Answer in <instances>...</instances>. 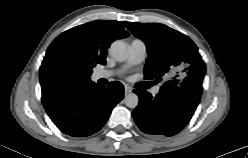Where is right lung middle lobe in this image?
<instances>
[{
	"label": "right lung middle lobe",
	"mask_w": 248,
	"mask_h": 158,
	"mask_svg": "<svg viewBox=\"0 0 248 158\" xmlns=\"http://www.w3.org/2000/svg\"><path fill=\"white\" fill-rule=\"evenodd\" d=\"M75 62L76 60L70 54H62L57 61V67L60 72L66 74L75 67Z\"/></svg>",
	"instance_id": "obj_1"
}]
</instances>
